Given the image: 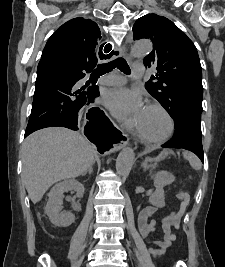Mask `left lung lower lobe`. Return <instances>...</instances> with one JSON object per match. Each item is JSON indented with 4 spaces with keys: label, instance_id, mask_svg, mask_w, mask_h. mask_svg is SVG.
Returning a JSON list of instances; mask_svg holds the SVG:
<instances>
[{
    "label": "left lung lower lobe",
    "instance_id": "obj_1",
    "mask_svg": "<svg viewBox=\"0 0 225 267\" xmlns=\"http://www.w3.org/2000/svg\"><path fill=\"white\" fill-rule=\"evenodd\" d=\"M166 148H183L195 153L204 162L202 133H201V111L189 110L183 120L175 128L173 138L162 145Z\"/></svg>",
    "mask_w": 225,
    "mask_h": 267
}]
</instances>
